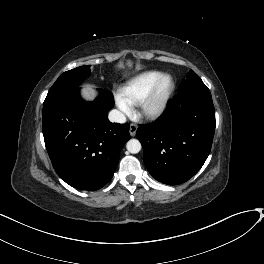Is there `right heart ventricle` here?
Wrapping results in <instances>:
<instances>
[{"mask_svg": "<svg viewBox=\"0 0 264 264\" xmlns=\"http://www.w3.org/2000/svg\"><path fill=\"white\" fill-rule=\"evenodd\" d=\"M161 75L157 70L138 73L121 88L120 96L131 106L138 104Z\"/></svg>", "mask_w": 264, "mask_h": 264, "instance_id": "e07e8e85", "label": "right heart ventricle"}]
</instances>
